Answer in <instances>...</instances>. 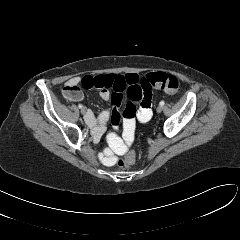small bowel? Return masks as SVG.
Instances as JSON below:
<instances>
[{"mask_svg": "<svg viewBox=\"0 0 240 240\" xmlns=\"http://www.w3.org/2000/svg\"><path fill=\"white\" fill-rule=\"evenodd\" d=\"M81 83L85 88H97L102 99L111 101L114 109L112 112L102 111L98 117H95L92 112H88L86 115V122L92 128V132L95 139H99L104 131L106 122L111 119L114 129H118L121 115L118 110L120 107L124 94L128 92L130 87H136L139 91V109L136 113V119L145 123L151 119L152 116V91L151 86L144 81V77H140L135 73H129L126 75L120 74H106L96 76H84L80 78L78 76L72 77L68 80V84ZM71 101H79L82 99L80 94L77 97L69 98ZM135 120H124V128L126 132L131 133L134 128ZM116 152L123 153L125 148L119 142L115 145Z\"/></svg>", "mask_w": 240, "mask_h": 240, "instance_id": "1", "label": "small bowel"}]
</instances>
